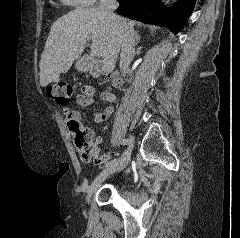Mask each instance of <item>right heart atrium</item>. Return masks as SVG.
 <instances>
[{
    "mask_svg": "<svg viewBox=\"0 0 240 238\" xmlns=\"http://www.w3.org/2000/svg\"><path fill=\"white\" fill-rule=\"evenodd\" d=\"M88 5H93L94 3L98 1H103V0H85Z\"/></svg>",
    "mask_w": 240,
    "mask_h": 238,
    "instance_id": "d8ad5b80",
    "label": "right heart atrium"
}]
</instances>
